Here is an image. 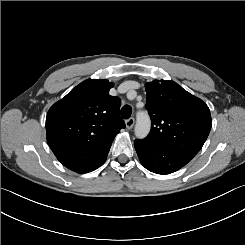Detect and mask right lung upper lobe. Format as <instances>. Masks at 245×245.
Returning <instances> with one entry per match:
<instances>
[{
	"label": "right lung upper lobe",
	"mask_w": 245,
	"mask_h": 245,
	"mask_svg": "<svg viewBox=\"0 0 245 245\" xmlns=\"http://www.w3.org/2000/svg\"><path fill=\"white\" fill-rule=\"evenodd\" d=\"M113 86L105 79L85 80L47 113V142L72 171L87 173L104 164L114 137L125 128L120 99L109 95Z\"/></svg>",
	"instance_id": "obj_1"
}]
</instances>
